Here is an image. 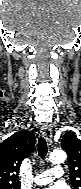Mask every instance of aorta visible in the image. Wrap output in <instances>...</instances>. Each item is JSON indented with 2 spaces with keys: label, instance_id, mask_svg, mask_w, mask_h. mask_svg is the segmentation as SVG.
Returning <instances> with one entry per match:
<instances>
[{
  "label": "aorta",
  "instance_id": "1",
  "mask_svg": "<svg viewBox=\"0 0 81 189\" xmlns=\"http://www.w3.org/2000/svg\"><path fill=\"white\" fill-rule=\"evenodd\" d=\"M66 160V153L63 150H54L49 156V161L55 164L63 163Z\"/></svg>",
  "mask_w": 81,
  "mask_h": 189
}]
</instances>
